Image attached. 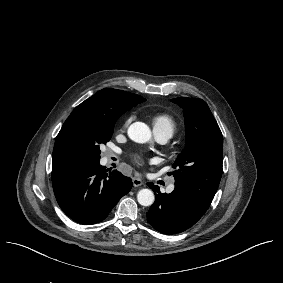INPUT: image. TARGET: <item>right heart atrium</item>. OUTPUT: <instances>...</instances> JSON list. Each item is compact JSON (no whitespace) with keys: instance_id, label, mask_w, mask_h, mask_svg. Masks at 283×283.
Here are the masks:
<instances>
[{"instance_id":"right-heart-atrium-1","label":"right heart atrium","mask_w":283,"mask_h":283,"mask_svg":"<svg viewBox=\"0 0 283 283\" xmlns=\"http://www.w3.org/2000/svg\"><path fill=\"white\" fill-rule=\"evenodd\" d=\"M130 121H131V117L126 118V120L123 122L122 126L120 127V130L126 129Z\"/></svg>"}]
</instances>
